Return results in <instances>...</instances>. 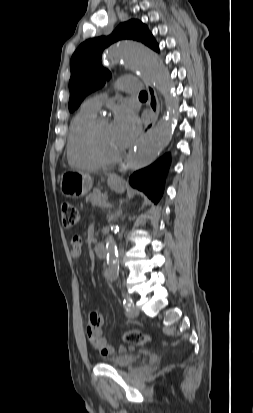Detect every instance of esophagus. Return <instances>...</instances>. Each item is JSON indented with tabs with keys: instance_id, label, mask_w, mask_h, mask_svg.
Here are the masks:
<instances>
[{
	"instance_id": "esophagus-1",
	"label": "esophagus",
	"mask_w": 253,
	"mask_h": 413,
	"mask_svg": "<svg viewBox=\"0 0 253 413\" xmlns=\"http://www.w3.org/2000/svg\"><path fill=\"white\" fill-rule=\"evenodd\" d=\"M145 85H146V88H147V91H148V97H149L148 105H149V109H150V113H151V119L149 120L148 123L145 124L143 134L150 131L154 127V125H155V123L158 119L159 112H160V104H159V100H158V97H157L156 90L154 89L152 84L149 83L148 81H145ZM132 153H133V149H131L129 151L128 158L120 165V167L118 169L119 172H123L128 168L129 162H130L129 158L132 155ZM117 177H118V175L115 174V173H113L111 175V178H117Z\"/></svg>"
}]
</instances>
